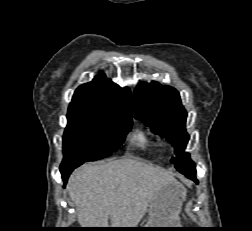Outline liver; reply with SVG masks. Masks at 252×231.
Masks as SVG:
<instances>
[{
    "instance_id": "1",
    "label": "liver",
    "mask_w": 252,
    "mask_h": 231,
    "mask_svg": "<svg viewBox=\"0 0 252 231\" xmlns=\"http://www.w3.org/2000/svg\"><path fill=\"white\" fill-rule=\"evenodd\" d=\"M175 180L170 172L135 159L85 164L67 189L83 228H135L160 188Z\"/></svg>"
}]
</instances>
